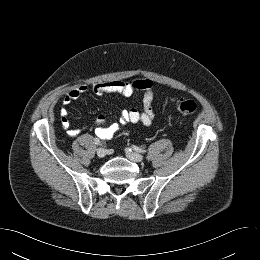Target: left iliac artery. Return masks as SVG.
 Listing matches in <instances>:
<instances>
[{
	"instance_id": "left-iliac-artery-1",
	"label": "left iliac artery",
	"mask_w": 260,
	"mask_h": 260,
	"mask_svg": "<svg viewBox=\"0 0 260 260\" xmlns=\"http://www.w3.org/2000/svg\"><path fill=\"white\" fill-rule=\"evenodd\" d=\"M132 148L137 152L146 153L145 149L139 148L138 146L133 145Z\"/></svg>"
}]
</instances>
